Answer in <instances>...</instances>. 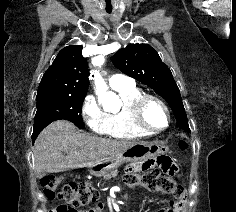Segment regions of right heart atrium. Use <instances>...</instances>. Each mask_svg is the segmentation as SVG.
Listing matches in <instances>:
<instances>
[{
  "label": "right heart atrium",
  "instance_id": "obj_1",
  "mask_svg": "<svg viewBox=\"0 0 236 212\" xmlns=\"http://www.w3.org/2000/svg\"><path fill=\"white\" fill-rule=\"evenodd\" d=\"M81 113L88 127L97 134H105L106 113L99 107L92 95L85 97L82 103Z\"/></svg>",
  "mask_w": 236,
  "mask_h": 212
}]
</instances>
